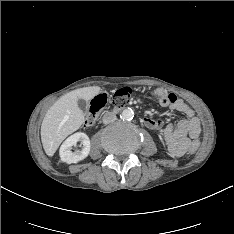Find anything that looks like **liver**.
Instances as JSON below:
<instances>
[{"label": "liver", "instance_id": "obj_1", "mask_svg": "<svg viewBox=\"0 0 234 234\" xmlns=\"http://www.w3.org/2000/svg\"><path fill=\"white\" fill-rule=\"evenodd\" d=\"M101 92L98 86L73 90L59 98L46 112L41 124V141L45 153L53 156L62 141L80 128L84 113L78 100H91Z\"/></svg>", "mask_w": 234, "mask_h": 234}]
</instances>
